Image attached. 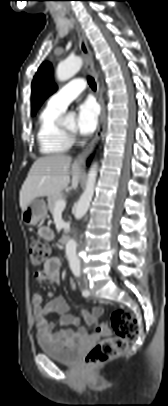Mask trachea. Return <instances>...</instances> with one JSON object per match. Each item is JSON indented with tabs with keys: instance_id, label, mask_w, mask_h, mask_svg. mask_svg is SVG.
<instances>
[{
	"instance_id": "trachea-1",
	"label": "trachea",
	"mask_w": 168,
	"mask_h": 406,
	"mask_svg": "<svg viewBox=\"0 0 168 406\" xmlns=\"http://www.w3.org/2000/svg\"><path fill=\"white\" fill-rule=\"evenodd\" d=\"M88 84L90 85V87L93 90H96V83H95L94 79L92 77H90V76L88 77Z\"/></svg>"
}]
</instances>
